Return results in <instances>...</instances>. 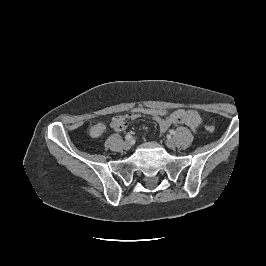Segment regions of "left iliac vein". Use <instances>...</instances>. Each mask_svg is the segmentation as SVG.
<instances>
[{
	"label": "left iliac vein",
	"mask_w": 266,
	"mask_h": 266,
	"mask_svg": "<svg viewBox=\"0 0 266 266\" xmlns=\"http://www.w3.org/2000/svg\"><path fill=\"white\" fill-rule=\"evenodd\" d=\"M165 143H166L167 147L170 149H174L176 147V142L172 138H168Z\"/></svg>",
	"instance_id": "1"
}]
</instances>
